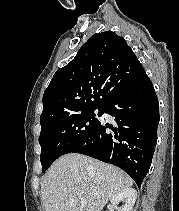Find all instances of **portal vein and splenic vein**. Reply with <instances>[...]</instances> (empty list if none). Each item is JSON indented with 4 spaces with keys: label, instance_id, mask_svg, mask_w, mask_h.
<instances>
[{
    "label": "portal vein and splenic vein",
    "instance_id": "18ae733b",
    "mask_svg": "<svg viewBox=\"0 0 179 211\" xmlns=\"http://www.w3.org/2000/svg\"><path fill=\"white\" fill-rule=\"evenodd\" d=\"M86 202H87L86 198L82 197V198L80 199L81 205H85Z\"/></svg>",
    "mask_w": 179,
    "mask_h": 211
}]
</instances>
